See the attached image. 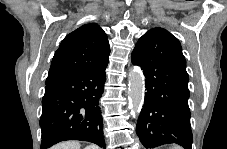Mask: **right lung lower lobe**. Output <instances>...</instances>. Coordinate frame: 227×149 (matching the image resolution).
Masks as SVG:
<instances>
[{
	"mask_svg": "<svg viewBox=\"0 0 227 149\" xmlns=\"http://www.w3.org/2000/svg\"><path fill=\"white\" fill-rule=\"evenodd\" d=\"M107 64L46 86L40 118L41 149L66 140L89 141L105 147L99 99Z\"/></svg>",
	"mask_w": 227,
	"mask_h": 149,
	"instance_id": "right-lung-lower-lobe-1",
	"label": "right lung lower lobe"
}]
</instances>
